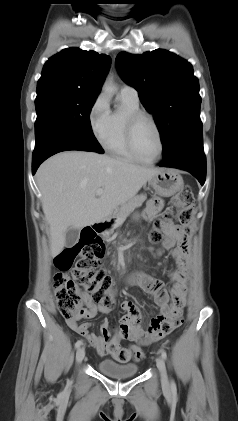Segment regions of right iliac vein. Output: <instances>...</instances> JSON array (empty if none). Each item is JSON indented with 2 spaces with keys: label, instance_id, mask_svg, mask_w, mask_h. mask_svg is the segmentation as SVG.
Instances as JSON below:
<instances>
[{
  "label": "right iliac vein",
  "instance_id": "right-iliac-vein-1",
  "mask_svg": "<svg viewBox=\"0 0 238 421\" xmlns=\"http://www.w3.org/2000/svg\"><path fill=\"white\" fill-rule=\"evenodd\" d=\"M85 357V349L83 347L78 348L76 351V362L79 364Z\"/></svg>",
  "mask_w": 238,
  "mask_h": 421
}]
</instances>
